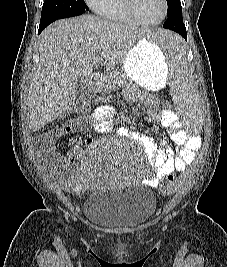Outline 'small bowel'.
Masks as SVG:
<instances>
[{
	"label": "small bowel",
	"mask_w": 227,
	"mask_h": 267,
	"mask_svg": "<svg viewBox=\"0 0 227 267\" xmlns=\"http://www.w3.org/2000/svg\"><path fill=\"white\" fill-rule=\"evenodd\" d=\"M114 114L113 107L107 104L98 106L92 115V129L98 134H106L113 128L112 116ZM150 118L159 122L163 127L169 130L174 143L179 149L174 150L167 142L155 143L146 136L140 134L129 133L121 130L123 135H129L140 142L146 157L150 164L155 168L153 175L147 177L145 182L153 187L160 186L163 173H174L183 170L190 164L194 158L196 151L201 147V140L197 135H189L181 129L176 113L171 109H153L150 112ZM81 129V126L71 125L61 132L53 133L49 140L58 136L59 133H72ZM86 142H81L80 146ZM65 181L69 186H86L88 175L85 165L71 170L65 169Z\"/></svg>",
	"instance_id": "c3829d8e"
}]
</instances>
